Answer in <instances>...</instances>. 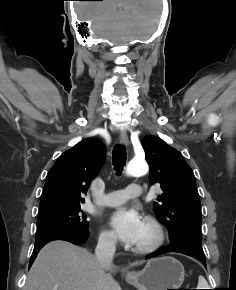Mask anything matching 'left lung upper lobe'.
Segmentation results:
<instances>
[{"mask_svg": "<svg viewBox=\"0 0 236 290\" xmlns=\"http://www.w3.org/2000/svg\"><path fill=\"white\" fill-rule=\"evenodd\" d=\"M141 143L150 166L149 183L160 184L163 191L153 211L170 232V247L182 246L205 255L200 232L201 204L192 169L182 154L161 138L146 136Z\"/></svg>", "mask_w": 236, "mask_h": 290, "instance_id": "1", "label": "left lung upper lobe"}]
</instances>
